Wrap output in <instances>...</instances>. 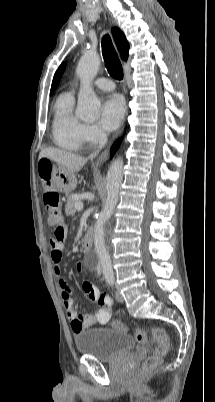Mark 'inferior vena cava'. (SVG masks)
<instances>
[{"mask_svg": "<svg viewBox=\"0 0 215 402\" xmlns=\"http://www.w3.org/2000/svg\"><path fill=\"white\" fill-rule=\"evenodd\" d=\"M108 139H107V135L104 132H100L99 134V147L98 150L94 153H92L89 158L93 159L97 156V154L99 153V151L105 146V144L107 143Z\"/></svg>", "mask_w": 215, "mask_h": 402, "instance_id": "1", "label": "inferior vena cava"}]
</instances>
